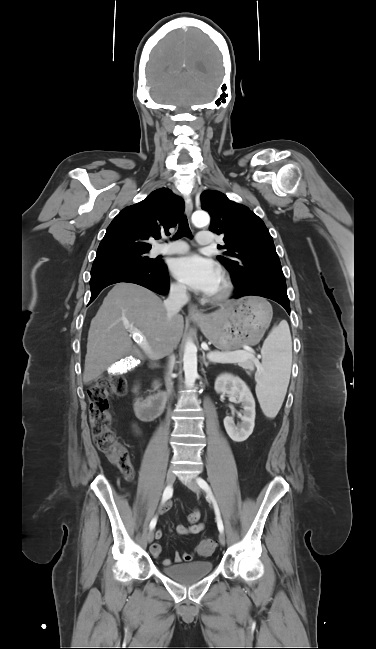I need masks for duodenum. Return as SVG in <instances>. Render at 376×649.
<instances>
[{"label": "duodenum", "mask_w": 376, "mask_h": 649, "mask_svg": "<svg viewBox=\"0 0 376 649\" xmlns=\"http://www.w3.org/2000/svg\"><path fill=\"white\" fill-rule=\"evenodd\" d=\"M132 394L135 414L142 421H150L160 415L167 399L165 394L143 397L138 382L134 384Z\"/></svg>", "instance_id": "obj_1"}]
</instances>
